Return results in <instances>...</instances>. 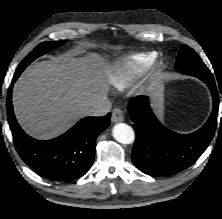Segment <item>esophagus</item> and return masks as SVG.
<instances>
[{
    "mask_svg": "<svg viewBox=\"0 0 222 219\" xmlns=\"http://www.w3.org/2000/svg\"><path fill=\"white\" fill-rule=\"evenodd\" d=\"M111 120L114 123L124 121V113L121 109L115 108L112 112Z\"/></svg>",
    "mask_w": 222,
    "mask_h": 219,
    "instance_id": "1",
    "label": "esophagus"
}]
</instances>
